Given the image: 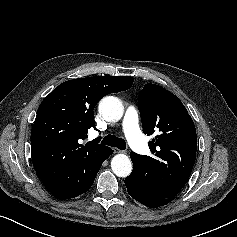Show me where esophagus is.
Segmentation results:
<instances>
[{"instance_id":"34e87169","label":"esophagus","mask_w":237,"mask_h":237,"mask_svg":"<svg viewBox=\"0 0 237 237\" xmlns=\"http://www.w3.org/2000/svg\"><path fill=\"white\" fill-rule=\"evenodd\" d=\"M114 152L115 153H124V154L126 153V151L120 150V149H117V148L114 149Z\"/></svg>"}]
</instances>
